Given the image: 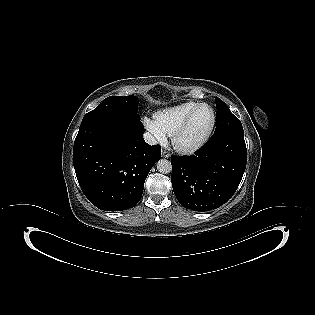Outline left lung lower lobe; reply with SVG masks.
<instances>
[{
	"mask_svg": "<svg viewBox=\"0 0 315 315\" xmlns=\"http://www.w3.org/2000/svg\"><path fill=\"white\" fill-rule=\"evenodd\" d=\"M244 135L211 138L192 156H172V187L179 203L188 209L207 211L227 202L245 171Z\"/></svg>",
	"mask_w": 315,
	"mask_h": 315,
	"instance_id": "1",
	"label": "left lung lower lobe"
}]
</instances>
